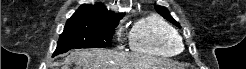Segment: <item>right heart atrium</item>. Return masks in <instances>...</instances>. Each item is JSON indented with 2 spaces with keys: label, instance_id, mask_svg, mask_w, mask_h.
Masks as SVG:
<instances>
[{
  "label": "right heart atrium",
  "instance_id": "right-heart-atrium-1",
  "mask_svg": "<svg viewBox=\"0 0 246 69\" xmlns=\"http://www.w3.org/2000/svg\"><path fill=\"white\" fill-rule=\"evenodd\" d=\"M115 36H116L117 40L120 42L122 40V37H123V30L121 28H117L115 30Z\"/></svg>",
  "mask_w": 246,
  "mask_h": 69
}]
</instances>
